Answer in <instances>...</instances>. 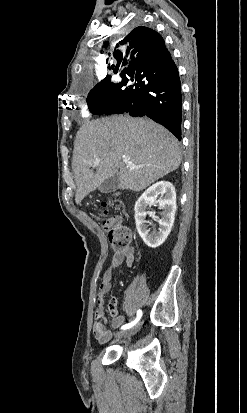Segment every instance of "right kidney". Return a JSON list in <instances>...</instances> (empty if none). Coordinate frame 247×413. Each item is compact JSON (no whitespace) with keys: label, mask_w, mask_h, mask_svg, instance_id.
Instances as JSON below:
<instances>
[{"label":"right kidney","mask_w":247,"mask_h":413,"mask_svg":"<svg viewBox=\"0 0 247 413\" xmlns=\"http://www.w3.org/2000/svg\"><path fill=\"white\" fill-rule=\"evenodd\" d=\"M159 192L164 194V196L156 200ZM156 202H158L157 207L163 209L161 213L162 219L157 221V223H159V231L150 233V229L145 225V223H147V221H145L146 215H149L146 209L151 207V204H156ZM134 211L136 229L145 245H148L151 249L160 247V245L166 241L174 223L176 211L175 186H173L172 182H168V180L155 182V184L149 186V188L139 196L138 200H136Z\"/></svg>","instance_id":"obj_1"}]
</instances>
